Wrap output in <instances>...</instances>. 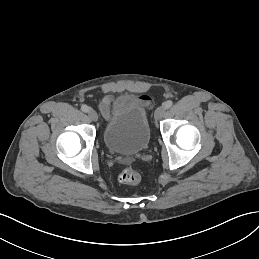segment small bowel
Returning a JSON list of instances; mask_svg holds the SVG:
<instances>
[{
    "mask_svg": "<svg viewBox=\"0 0 259 259\" xmlns=\"http://www.w3.org/2000/svg\"><path fill=\"white\" fill-rule=\"evenodd\" d=\"M114 98L111 95H106L100 102H99V109L102 115L108 119L110 115V106L113 102ZM131 100L140 103L145 106L151 105V99L148 96L141 95V96H134L131 97Z\"/></svg>",
    "mask_w": 259,
    "mask_h": 259,
    "instance_id": "small-bowel-1",
    "label": "small bowel"
}]
</instances>
